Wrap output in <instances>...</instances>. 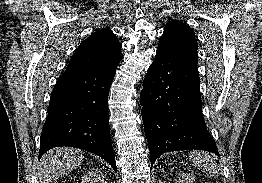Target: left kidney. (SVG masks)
Returning <instances> with one entry per match:
<instances>
[{
  "mask_svg": "<svg viewBox=\"0 0 262 183\" xmlns=\"http://www.w3.org/2000/svg\"><path fill=\"white\" fill-rule=\"evenodd\" d=\"M195 176L193 174H184L180 172L179 174V183H193Z\"/></svg>",
  "mask_w": 262,
  "mask_h": 183,
  "instance_id": "5707ae66",
  "label": "left kidney"
}]
</instances>
